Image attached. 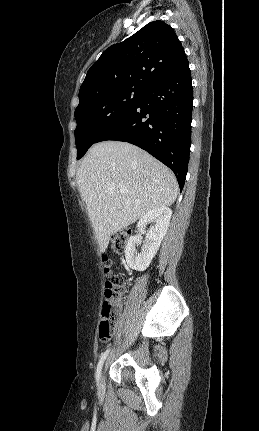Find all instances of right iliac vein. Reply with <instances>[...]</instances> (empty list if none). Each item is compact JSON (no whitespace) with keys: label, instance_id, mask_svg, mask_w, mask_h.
I'll list each match as a JSON object with an SVG mask.
<instances>
[{"label":"right iliac vein","instance_id":"1","mask_svg":"<svg viewBox=\"0 0 259 431\" xmlns=\"http://www.w3.org/2000/svg\"><path fill=\"white\" fill-rule=\"evenodd\" d=\"M103 380H104V378H103V376H101L100 379H99V385L100 386L103 384Z\"/></svg>","mask_w":259,"mask_h":431}]
</instances>
